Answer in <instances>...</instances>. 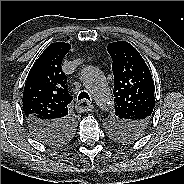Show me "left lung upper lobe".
Returning <instances> with one entry per match:
<instances>
[{"mask_svg":"<svg viewBox=\"0 0 184 184\" xmlns=\"http://www.w3.org/2000/svg\"><path fill=\"white\" fill-rule=\"evenodd\" d=\"M114 74L115 115L109 123L113 138L128 142L149 125L155 106L152 75L140 53L128 42L107 47Z\"/></svg>","mask_w":184,"mask_h":184,"instance_id":"5c2ea615","label":"left lung upper lobe"}]
</instances>
